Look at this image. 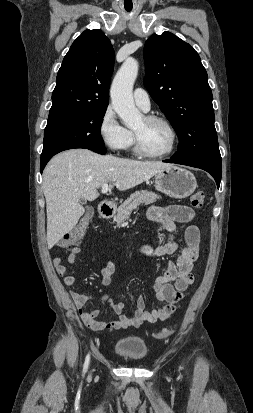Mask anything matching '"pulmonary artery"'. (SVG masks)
Here are the masks:
<instances>
[{"label": "pulmonary artery", "instance_id": "1", "mask_svg": "<svg viewBox=\"0 0 253 413\" xmlns=\"http://www.w3.org/2000/svg\"><path fill=\"white\" fill-rule=\"evenodd\" d=\"M135 104L143 111L150 109V98L148 93L142 88H136L133 93Z\"/></svg>", "mask_w": 253, "mask_h": 413}]
</instances>
